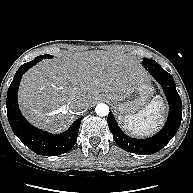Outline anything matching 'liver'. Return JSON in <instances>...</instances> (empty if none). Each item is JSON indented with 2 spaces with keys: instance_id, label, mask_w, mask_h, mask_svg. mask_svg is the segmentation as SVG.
I'll return each mask as SVG.
<instances>
[{
  "instance_id": "liver-1",
  "label": "liver",
  "mask_w": 193,
  "mask_h": 193,
  "mask_svg": "<svg viewBox=\"0 0 193 193\" xmlns=\"http://www.w3.org/2000/svg\"><path fill=\"white\" fill-rule=\"evenodd\" d=\"M139 77L144 79L143 73L124 55L106 51L76 53L30 69L21 80L18 101L32 124L57 132L70 124L75 111L82 110L71 109L72 101L81 100L87 108Z\"/></svg>"
}]
</instances>
